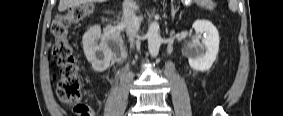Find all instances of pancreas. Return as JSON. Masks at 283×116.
<instances>
[{
    "label": "pancreas",
    "instance_id": "cf45deb5",
    "mask_svg": "<svg viewBox=\"0 0 283 116\" xmlns=\"http://www.w3.org/2000/svg\"><path fill=\"white\" fill-rule=\"evenodd\" d=\"M209 9L211 10V9H213V7H209Z\"/></svg>",
    "mask_w": 283,
    "mask_h": 116
}]
</instances>
